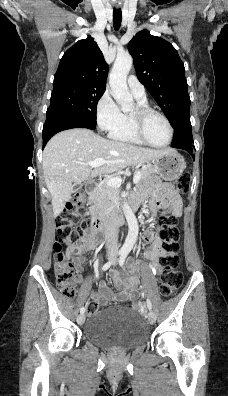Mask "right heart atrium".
I'll list each match as a JSON object with an SVG mask.
<instances>
[{
    "instance_id": "obj_1",
    "label": "right heart atrium",
    "mask_w": 228,
    "mask_h": 396,
    "mask_svg": "<svg viewBox=\"0 0 228 396\" xmlns=\"http://www.w3.org/2000/svg\"><path fill=\"white\" fill-rule=\"evenodd\" d=\"M95 113L98 127L105 132L117 128L124 120V114L109 91H105L99 98Z\"/></svg>"
}]
</instances>
